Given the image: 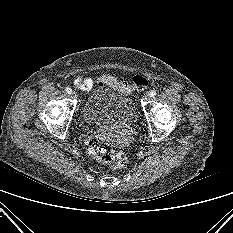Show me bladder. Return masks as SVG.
Returning <instances> with one entry per match:
<instances>
[{"mask_svg":"<svg viewBox=\"0 0 233 233\" xmlns=\"http://www.w3.org/2000/svg\"><path fill=\"white\" fill-rule=\"evenodd\" d=\"M83 119L96 126L130 125L137 112L133 101L125 94L108 87L91 93L83 107Z\"/></svg>","mask_w":233,"mask_h":233,"instance_id":"31cf9c89","label":"bladder"}]
</instances>
